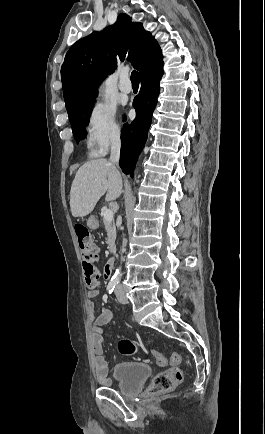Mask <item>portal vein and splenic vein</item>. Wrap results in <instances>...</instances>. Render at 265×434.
Instances as JSON below:
<instances>
[{
	"label": "portal vein and splenic vein",
	"mask_w": 265,
	"mask_h": 434,
	"mask_svg": "<svg viewBox=\"0 0 265 434\" xmlns=\"http://www.w3.org/2000/svg\"><path fill=\"white\" fill-rule=\"evenodd\" d=\"M113 216H114V214H113L112 210H105L104 220H106V222H112Z\"/></svg>",
	"instance_id": "1"
}]
</instances>
